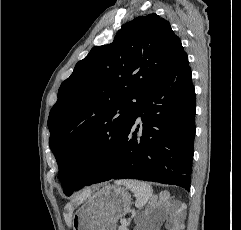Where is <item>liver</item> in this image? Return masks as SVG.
I'll list each match as a JSON object with an SVG mask.
<instances>
[{
	"instance_id": "1",
	"label": "liver",
	"mask_w": 241,
	"mask_h": 230,
	"mask_svg": "<svg viewBox=\"0 0 241 230\" xmlns=\"http://www.w3.org/2000/svg\"><path fill=\"white\" fill-rule=\"evenodd\" d=\"M66 224L68 227L72 225V211L69 212L68 216L65 218Z\"/></svg>"
}]
</instances>
